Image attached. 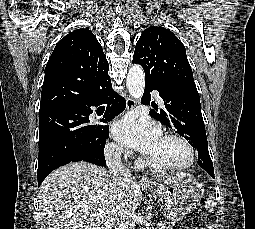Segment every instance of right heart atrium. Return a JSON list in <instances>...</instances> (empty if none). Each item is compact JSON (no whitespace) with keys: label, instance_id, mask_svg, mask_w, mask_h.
Listing matches in <instances>:
<instances>
[{"label":"right heart atrium","instance_id":"right-heart-atrium-1","mask_svg":"<svg viewBox=\"0 0 255 229\" xmlns=\"http://www.w3.org/2000/svg\"><path fill=\"white\" fill-rule=\"evenodd\" d=\"M105 153L110 157L129 156L130 153L125 151L122 146L116 143H108L105 147Z\"/></svg>","mask_w":255,"mask_h":229}]
</instances>
